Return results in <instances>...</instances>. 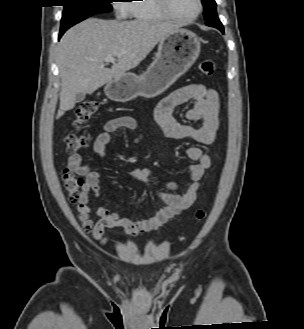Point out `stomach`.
Masks as SVG:
<instances>
[{"label": "stomach", "instance_id": "obj_1", "mask_svg": "<svg viewBox=\"0 0 304 329\" xmlns=\"http://www.w3.org/2000/svg\"><path fill=\"white\" fill-rule=\"evenodd\" d=\"M199 54L197 35L187 29H177L160 41L154 61L142 75L125 73L108 82L104 92L116 102H128L139 96L156 97L183 75Z\"/></svg>", "mask_w": 304, "mask_h": 329}]
</instances>
